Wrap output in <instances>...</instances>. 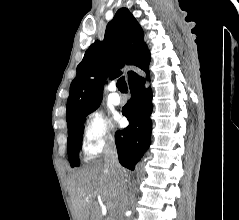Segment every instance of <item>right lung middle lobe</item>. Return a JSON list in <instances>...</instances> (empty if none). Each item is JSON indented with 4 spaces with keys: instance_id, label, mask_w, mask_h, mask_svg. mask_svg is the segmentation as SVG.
<instances>
[{
    "instance_id": "1",
    "label": "right lung middle lobe",
    "mask_w": 239,
    "mask_h": 220,
    "mask_svg": "<svg viewBox=\"0 0 239 220\" xmlns=\"http://www.w3.org/2000/svg\"><path fill=\"white\" fill-rule=\"evenodd\" d=\"M88 114L89 113L80 116L71 125L68 126L67 153H68L69 161L72 167L79 166L78 156H79V150L82 147L84 120Z\"/></svg>"
}]
</instances>
